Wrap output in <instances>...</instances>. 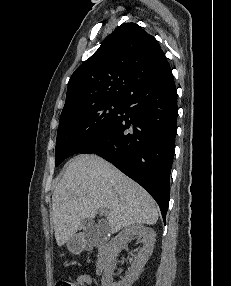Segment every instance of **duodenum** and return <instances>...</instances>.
Masks as SVG:
<instances>
[{"label": "duodenum", "mask_w": 231, "mask_h": 286, "mask_svg": "<svg viewBox=\"0 0 231 286\" xmlns=\"http://www.w3.org/2000/svg\"><path fill=\"white\" fill-rule=\"evenodd\" d=\"M79 246L82 250L96 251V270L99 274L102 273L105 270L108 261L109 251L107 239L102 237H82V239L79 241Z\"/></svg>", "instance_id": "duodenum-1"}]
</instances>
